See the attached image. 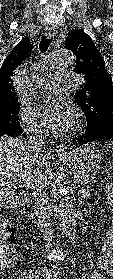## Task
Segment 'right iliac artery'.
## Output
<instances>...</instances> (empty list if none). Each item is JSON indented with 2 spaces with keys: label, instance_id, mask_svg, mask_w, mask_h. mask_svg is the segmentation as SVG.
<instances>
[{
  "label": "right iliac artery",
  "instance_id": "1",
  "mask_svg": "<svg viewBox=\"0 0 113 279\" xmlns=\"http://www.w3.org/2000/svg\"><path fill=\"white\" fill-rule=\"evenodd\" d=\"M28 278H29V279H32V278H33V274H32V276H29Z\"/></svg>",
  "mask_w": 113,
  "mask_h": 279
}]
</instances>
